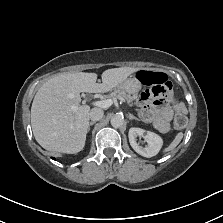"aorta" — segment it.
Instances as JSON below:
<instances>
[{"label": "aorta", "mask_w": 223, "mask_h": 223, "mask_svg": "<svg viewBox=\"0 0 223 223\" xmlns=\"http://www.w3.org/2000/svg\"><path fill=\"white\" fill-rule=\"evenodd\" d=\"M124 124V118L120 114H116L111 118V125L113 127H121Z\"/></svg>", "instance_id": "obj_1"}]
</instances>
